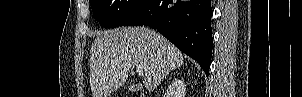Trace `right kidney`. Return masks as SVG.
Segmentation results:
<instances>
[{"instance_id": "obj_1", "label": "right kidney", "mask_w": 302, "mask_h": 97, "mask_svg": "<svg viewBox=\"0 0 302 97\" xmlns=\"http://www.w3.org/2000/svg\"><path fill=\"white\" fill-rule=\"evenodd\" d=\"M186 85L183 80L175 79L169 86L168 95H175L176 97H185Z\"/></svg>"}]
</instances>
